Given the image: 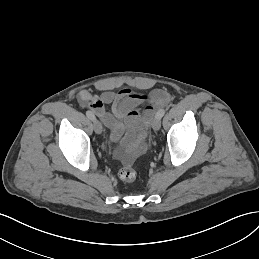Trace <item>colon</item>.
<instances>
[{
  "mask_svg": "<svg viewBox=\"0 0 259 259\" xmlns=\"http://www.w3.org/2000/svg\"><path fill=\"white\" fill-rule=\"evenodd\" d=\"M118 176L124 182H132L136 179V171L132 166L127 165L120 169Z\"/></svg>",
  "mask_w": 259,
  "mask_h": 259,
  "instance_id": "colon-1",
  "label": "colon"
}]
</instances>
